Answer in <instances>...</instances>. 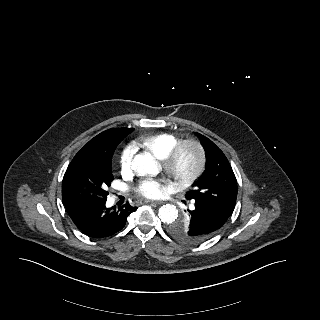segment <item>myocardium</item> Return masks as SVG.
I'll return each instance as SVG.
<instances>
[{
	"label": "myocardium",
	"instance_id": "obj_1",
	"mask_svg": "<svg viewBox=\"0 0 320 320\" xmlns=\"http://www.w3.org/2000/svg\"><path fill=\"white\" fill-rule=\"evenodd\" d=\"M186 148H191L194 150L196 154V164L191 172L187 174H181L178 171V163L183 151ZM205 164V149L200 141L193 138L178 141V143L163 159V168L165 172L171 178L173 185L179 189L186 188L194 183L203 173Z\"/></svg>",
	"mask_w": 320,
	"mask_h": 320
}]
</instances>
